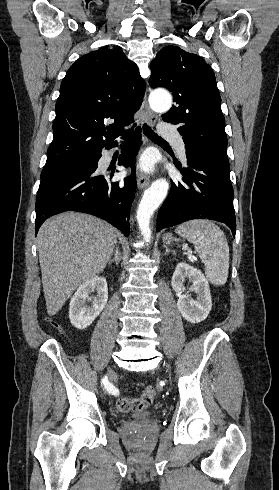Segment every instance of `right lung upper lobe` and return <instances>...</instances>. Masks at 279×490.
Instances as JSON below:
<instances>
[{"label":"right lung upper lobe","instance_id":"1","mask_svg":"<svg viewBox=\"0 0 279 490\" xmlns=\"http://www.w3.org/2000/svg\"><path fill=\"white\" fill-rule=\"evenodd\" d=\"M145 88L136 64L120 47L80 57L61 83L46 164L91 158L116 143L123 127L134 122ZM110 120L114 123L106 126Z\"/></svg>","mask_w":279,"mask_h":490}]
</instances>
